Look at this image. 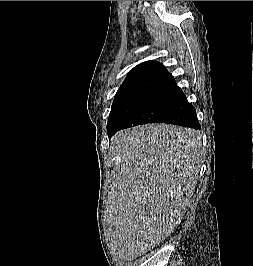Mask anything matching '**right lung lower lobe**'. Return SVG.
<instances>
[{"label":"right lung lower lobe","instance_id":"98d812e1","mask_svg":"<svg viewBox=\"0 0 253 266\" xmlns=\"http://www.w3.org/2000/svg\"><path fill=\"white\" fill-rule=\"evenodd\" d=\"M158 123H171L184 127H190L194 129H200V124L198 122L195 108L187 101L185 94L176 85L170 108L163 118H161ZM126 123H113L107 125V132L109 137L115 134L116 131L123 128H128Z\"/></svg>","mask_w":253,"mask_h":266}]
</instances>
